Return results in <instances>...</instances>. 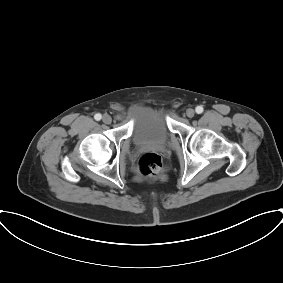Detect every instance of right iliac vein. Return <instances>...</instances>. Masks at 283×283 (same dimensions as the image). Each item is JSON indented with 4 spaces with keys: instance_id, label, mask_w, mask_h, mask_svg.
Wrapping results in <instances>:
<instances>
[{
    "instance_id": "obj_1",
    "label": "right iliac vein",
    "mask_w": 283,
    "mask_h": 283,
    "mask_svg": "<svg viewBox=\"0 0 283 283\" xmlns=\"http://www.w3.org/2000/svg\"><path fill=\"white\" fill-rule=\"evenodd\" d=\"M102 121L105 123V124H110L112 122V118L110 115L108 114H104L103 117H102Z\"/></svg>"
}]
</instances>
